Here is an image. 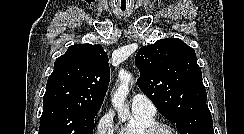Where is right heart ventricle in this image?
I'll return each instance as SVG.
<instances>
[{"label":"right heart ventricle","mask_w":244,"mask_h":134,"mask_svg":"<svg viewBox=\"0 0 244 134\" xmlns=\"http://www.w3.org/2000/svg\"><path fill=\"white\" fill-rule=\"evenodd\" d=\"M154 122V116L133 111L130 123L118 128L115 134H143L144 129Z\"/></svg>","instance_id":"right-heart-ventricle-1"}]
</instances>
